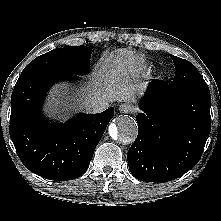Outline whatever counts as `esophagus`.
<instances>
[{
    "mask_svg": "<svg viewBox=\"0 0 221 221\" xmlns=\"http://www.w3.org/2000/svg\"><path fill=\"white\" fill-rule=\"evenodd\" d=\"M133 110H134V107H133V105L130 104V103H122V104L119 106V111H120L121 113L127 114V113L132 112Z\"/></svg>",
    "mask_w": 221,
    "mask_h": 221,
    "instance_id": "34e87169",
    "label": "esophagus"
}]
</instances>
